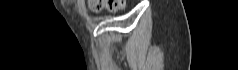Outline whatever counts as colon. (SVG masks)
<instances>
[{
  "instance_id": "colon-1",
  "label": "colon",
  "mask_w": 238,
  "mask_h": 70,
  "mask_svg": "<svg viewBox=\"0 0 238 70\" xmlns=\"http://www.w3.org/2000/svg\"><path fill=\"white\" fill-rule=\"evenodd\" d=\"M90 7L94 11L108 10L110 12H117L124 7L122 0H91Z\"/></svg>"
}]
</instances>
